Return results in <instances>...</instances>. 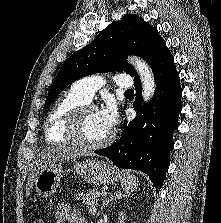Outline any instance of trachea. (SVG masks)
<instances>
[{
	"label": "trachea",
	"instance_id": "obj_1",
	"mask_svg": "<svg viewBox=\"0 0 221 223\" xmlns=\"http://www.w3.org/2000/svg\"><path fill=\"white\" fill-rule=\"evenodd\" d=\"M125 94H134V90H132V89L126 90Z\"/></svg>",
	"mask_w": 221,
	"mask_h": 223
}]
</instances>
